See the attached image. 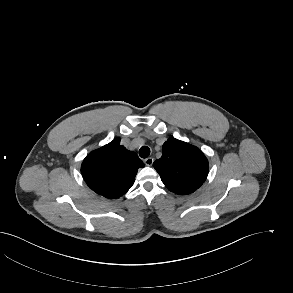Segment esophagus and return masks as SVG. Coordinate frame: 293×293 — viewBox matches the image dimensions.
<instances>
[{
  "label": "esophagus",
  "mask_w": 293,
  "mask_h": 293,
  "mask_svg": "<svg viewBox=\"0 0 293 293\" xmlns=\"http://www.w3.org/2000/svg\"><path fill=\"white\" fill-rule=\"evenodd\" d=\"M153 162H154V159L152 157H149L144 160V163L146 164V166H152Z\"/></svg>",
  "instance_id": "1"
}]
</instances>
